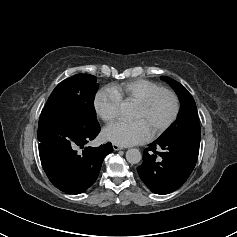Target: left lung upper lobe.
<instances>
[{
	"label": "left lung upper lobe",
	"mask_w": 237,
	"mask_h": 237,
	"mask_svg": "<svg viewBox=\"0 0 237 237\" xmlns=\"http://www.w3.org/2000/svg\"><path fill=\"white\" fill-rule=\"evenodd\" d=\"M161 79L168 82L175 90L180 100V111L176 121L168 127L158 138L160 140H177L182 138L201 137V129L198 121V114L195 101L188 90L179 82L161 76Z\"/></svg>",
	"instance_id": "1"
}]
</instances>
